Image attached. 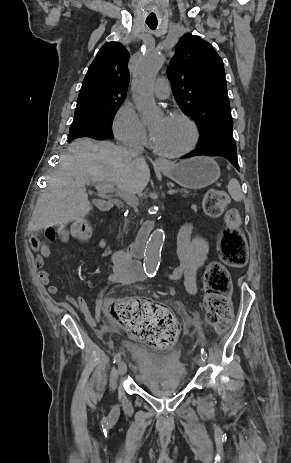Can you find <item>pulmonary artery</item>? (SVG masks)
Masks as SVG:
<instances>
[{"label":"pulmonary artery","mask_w":291,"mask_h":463,"mask_svg":"<svg viewBox=\"0 0 291 463\" xmlns=\"http://www.w3.org/2000/svg\"><path fill=\"white\" fill-rule=\"evenodd\" d=\"M153 94L158 99H166L170 95V84L166 77H160L156 80L153 87Z\"/></svg>","instance_id":"pulmonary-artery-1"}]
</instances>
